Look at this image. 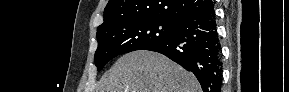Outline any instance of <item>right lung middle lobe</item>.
<instances>
[{
    "mask_svg": "<svg viewBox=\"0 0 289 92\" xmlns=\"http://www.w3.org/2000/svg\"><path fill=\"white\" fill-rule=\"evenodd\" d=\"M178 22L161 18L125 20L97 31L95 64L98 71L112 58L170 38Z\"/></svg>",
    "mask_w": 289,
    "mask_h": 92,
    "instance_id": "1",
    "label": "right lung middle lobe"
}]
</instances>
